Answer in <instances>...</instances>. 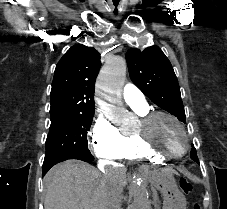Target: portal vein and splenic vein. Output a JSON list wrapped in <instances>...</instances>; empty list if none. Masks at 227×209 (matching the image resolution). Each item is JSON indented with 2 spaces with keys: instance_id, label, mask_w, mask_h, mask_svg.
<instances>
[{
  "instance_id": "obj_1",
  "label": "portal vein and splenic vein",
  "mask_w": 227,
  "mask_h": 209,
  "mask_svg": "<svg viewBox=\"0 0 227 209\" xmlns=\"http://www.w3.org/2000/svg\"><path fill=\"white\" fill-rule=\"evenodd\" d=\"M153 200H154V201H157V200H158V196H157V195L154 196V197H153Z\"/></svg>"
}]
</instances>
